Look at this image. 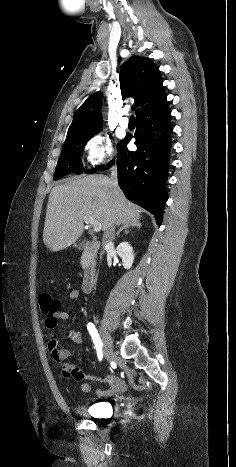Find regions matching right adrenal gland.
Returning a JSON list of instances; mask_svg holds the SVG:
<instances>
[{"mask_svg":"<svg viewBox=\"0 0 236 467\" xmlns=\"http://www.w3.org/2000/svg\"><path fill=\"white\" fill-rule=\"evenodd\" d=\"M140 227H141V224L139 221H132L130 223H126L118 230V232L116 233V236L118 237L123 230L127 234L129 233V228H140Z\"/></svg>","mask_w":236,"mask_h":467,"instance_id":"1","label":"right adrenal gland"}]
</instances>
